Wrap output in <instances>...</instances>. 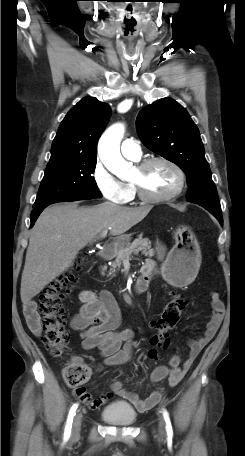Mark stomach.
Segmentation results:
<instances>
[{
	"instance_id": "stomach-1",
	"label": "stomach",
	"mask_w": 245,
	"mask_h": 456,
	"mask_svg": "<svg viewBox=\"0 0 245 456\" xmlns=\"http://www.w3.org/2000/svg\"><path fill=\"white\" fill-rule=\"evenodd\" d=\"M175 245L165 256L164 247L157 243L158 258L163 260V277L174 286L190 283L196 276L200 262L201 250L193 231L179 225L174 231ZM130 241L129 235H121L116 240L118 248L125 247Z\"/></svg>"
}]
</instances>
